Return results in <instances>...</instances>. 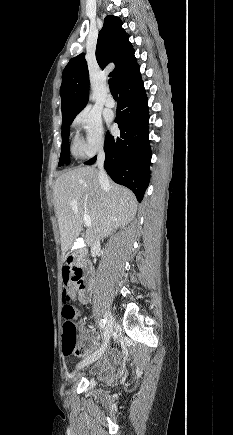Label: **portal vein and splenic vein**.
<instances>
[{"mask_svg":"<svg viewBox=\"0 0 233 435\" xmlns=\"http://www.w3.org/2000/svg\"><path fill=\"white\" fill-rule=\"evenodd\" d=\"M83 222H84L85 226H87L88 228H91V218L89 215L84 214Z\"/></svg>","mask_w":233,"mask_h":435,"instance_id":"18ae733b","label":"portal vein and splenic vein"}]
</instances>
